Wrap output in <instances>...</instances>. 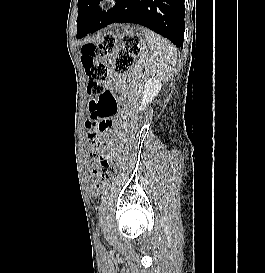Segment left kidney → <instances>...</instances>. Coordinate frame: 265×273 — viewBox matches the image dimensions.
Wrapping results in <instances>:
<instances>
[{
	"mask_svg": "<svg viewBox=\"0 0 265 273\" xmlns=\"http://www.w3.org/2000/svg\"><path fill=\"white\" fill-rule=\"evenodd\" d=\"M161 87L162 83L159 79L152 77L146 81L139 110L145 109L146 105L159 93Z\"/></svg>",
	"mask_w": 265,
	"mask_h": 273,
	"instance_id": "1",
	"label": "left kidney"
}]
</instances>
